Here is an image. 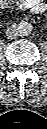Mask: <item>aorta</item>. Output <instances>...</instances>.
Instances as JSON below:
<instances>
[{"label": "aorta", "instance_id": "aorta-1", "mask_svg": "<svg viewBox=\"0 0 47 129\" xmlns=\"http://www.w3.org/2000/svg\"><path fill=\"white\" fill-rule=\"evenodd\" d=\"M32 26L30 23L22 21L17 26V32L20 36H27L31 33Z\"/></svg>", "mask_w": 47, "mask_h": 129}]
</instances>
